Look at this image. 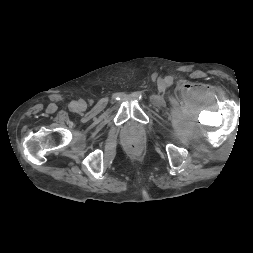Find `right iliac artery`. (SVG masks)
Returning <instances> with one entry per match:
<instances>
[{
    "label": "right iliac artery",
    "mask_w": 253,
    "mask_h": 253,
    "mask_svg": "<svg viewBox=\"0 0 253 253\" xmlns=\"http://www.w3.org/2000/svg\"><path fill=\"white\" fill-rule=\"evenodd\" d=\"M76 105H77L76 101H72V102L70 103V107H72V108H75Z\"/></svg>",
    "instance_id": "82829eb1"
}]
</instances>
